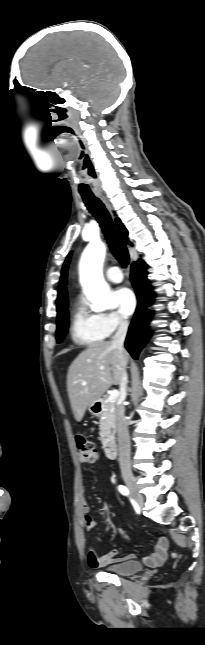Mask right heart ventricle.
I'll list each match as a JSON object with an SVG mask.
<instances>
[{"instance_id": "e07e8e85", "label": "right heart ventricle", "mask_w": 205, "mask_h": 645, "mask_svg": "<svg viewBox=\"0 0 205 645\" xmlns=\"http://www.w3.org/2000/svg\"><path fill=\"white\" fill-rule=\"evenodd\" d=\"M71 336L74 342L84 345L100 343L107 336L99 315L90 311L82 301L77 302L73 311Z\"/></svg>"}]
</instances>
